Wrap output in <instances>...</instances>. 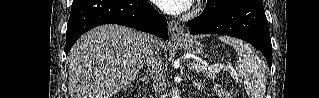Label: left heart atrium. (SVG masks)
Instances as JSON below:
<instances>
[{"label":"left heart atrium","instance_id":"left-heart-atrium-1","mask_svg":"<svg viewBox=\"0 0 319 98\" xmlns=\"http://www.w3.org/2000/svg\"><path fill=\"white\" fill-rule=\"evenodd\" d=\"M156 5L168 14H181L190 9L193 0H155Z\"/></svg>","mask_w":319,"mask_h":98}]
</instances>
